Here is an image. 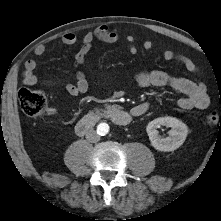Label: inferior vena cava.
<instances>
[{"instance_id": "obj_1", "label": "inferior vena cava", "mask_w": 221, "mask_h": 221, "mask_svg": "<svg viewBox=\"0 0 221 221\" xmlns=\"http://www.w3.org/2000/svg\"><path fill=\"white\" fill-rule=\"evenodd\" d=\"M86 139L91 143H96L100 140V136L95 130L92 129L86 133Z\"/></svg>"}]
</instances>
